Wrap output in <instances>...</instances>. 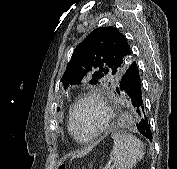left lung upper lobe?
<instances>
[{
    "mask_svg": "<svg viewBox=\"0 0 177 169\" xmlns=\"http://www.w3.org/2000/svg\"><path fill=\"white\" fill-rule=\"evenodd\" d=\"M132 62L133 52L125 36L115 27H99L75 48L61 82L65 89L104 80L117 86Z\"/></svg>",
    "mask_w": 177,
    "mask_h": 169,
    "instance_id": "5c2ea615",
    "label": "left lung upper lobe"
}]
</instances>
